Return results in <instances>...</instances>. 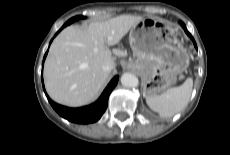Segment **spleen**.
Instances as JSON below:
<instances>
[{
	"label": "spleen",
	"instance_id": "1",
	"mask_svg": "<svg viewBox=\"0 0 230 155\" xmlns=\"http://www.w3.org/2000/svg\"><path fill=\"white\" fill-rule=\"evenodd\" d=\"M192 88L193 79L187 78L181 86L170 88L162 94L146 97V103L161 117H172L187 106Z\"/></svg>",
	"mask_w": 230,
	"mask_h": 155
}]
</instances>
